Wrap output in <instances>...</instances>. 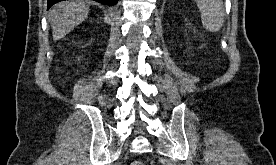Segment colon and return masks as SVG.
I'll use <instances>...</instances> for the list:
<instances>
[{
  "label": "colon",
  "instance_id": "colon-1",
  "mask_svg": "<svg viewBox=\"0 0 276 165\" xmlns=\"http://www.w3.org/2000/svg\"><path fill=\"white\" fill-rule=\"evenodd\" d=\"M130 165H145V164L141 161H134Z\"/></svg>",
  "mask_w": 276,
  "mask_h": 165
}]
</instances>
